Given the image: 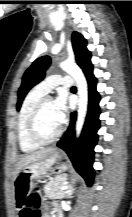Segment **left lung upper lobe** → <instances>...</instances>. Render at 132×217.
<instances>
[{"label": "left lung upper lobe", "instance_id": "1", "mask_svg": "<svg viewBox=\"0 0 132 217\" xmlns=\"http://www.w3.org/2000/svg\"><path fill=\"white\" fill-rule=\"evenodd\" d=\"M72 44L76 56L77 64L82 68L85 74L93 69L90 58L91 53L86 48V40L77 32L72 35ZM50 57L43 56L36 59L27 69L23 76L22 85L18 91L17 110L20 109L22 101L28 91L45 76V71L50 65Z\"/></svg>", "mask_w": 132, "mask_h": 217}]
</instances>
